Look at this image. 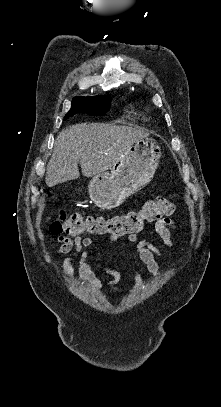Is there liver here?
Returning <instances> with one entry per match:
<instances>
[{"instance_id":"1","label":"liver","mask_w":221,"mask_h":407,"mask_svg":"<svg viewBox=\"0 0 221 407\" xmlns=\"http://www.w3.org/2000/svg\"><path fill=\"white\" fill-rule=\"evenodd\" d=\"M149 135L144 129L107 123H79L62 130L54 143L45 182L48 187L83 176L105 172L138 140Z\"/></svg>"}]
</instances>
